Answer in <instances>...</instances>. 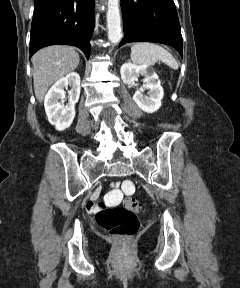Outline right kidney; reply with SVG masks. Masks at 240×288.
I'll return each instance as SVG.
<instances>
[{
  "label": "right kidney",
  "instance_id": "right-kidney-1",
  "mask_svg": "<svg viewBox=\"0 0 240 288\" xmlns=\"http://www.w3.org/2000/svg\"><path fill=\"white\" fill-rule=\"evenodd\" d=\"M68 86L69 102L66 106L59 102L65 98L64 88ZM80 76L75 73H69L66 77L60 78L49 89L45 96L44 107L49 122L59 131L70 127L75 117V104L80 96Z\"/></svg>",
  "mask_w": 240,
  "mask_h": 288
}]
</instances>
